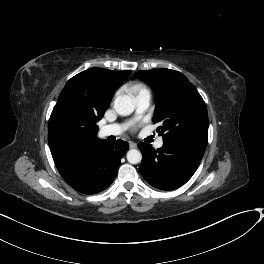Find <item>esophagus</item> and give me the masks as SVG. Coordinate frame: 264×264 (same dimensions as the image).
I'll return each instance as SVG.
<instances>
[{
    "label": "esophagus",
    "mask_w": 264,
    "mask_h": 264,
    "mask_svg": "<svg viewBox=\"0 0 264 264\" xmlns=\"http://www.w3.org/2000/svg\"><path fill=\"white\" fill-rule=\"evenodd\" d=\"M129 146H130V148H136L137 147V144L134 143V142H130L129 143Z\"/></svg>",
    "instance_id": "1"
}]
</instances>
